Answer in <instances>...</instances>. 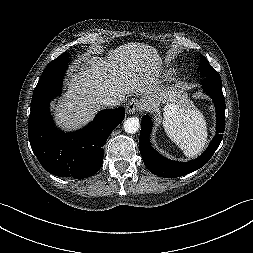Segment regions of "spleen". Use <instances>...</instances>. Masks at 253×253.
I'll return each mask as SVG.
<instances>
[{
	"mask_svg": "<svg viewBox=\"0 0 253 253\" xmlns=\"http://www.w3.org/2000/svg\"><path fill=\"white\" fill-rule=\"evenodd\" d=\"M163 126L167 136L189 158L200 154L207 143L206 120L197 108L178 106L165 112Z\"/></svg>",
	"mask_w": 253,
	"mask_h": 253,
	"instance_id": "spleen-1",
	"label": "spleen"
}]
</instances>
